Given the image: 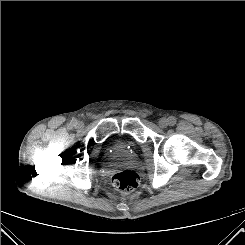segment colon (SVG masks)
Returning a JSON list of instances; mask_svg holds the SVG:
<instances>
[{
  "instance_id": "colon-1",
  "label": "colon",
  "mask_w": 245,
  "mask_h": 245,
  "mask_svg": "<svg viewBox=\"0 0 245 245\" xmlns=\"http://www.w3.org/2000/svg\"><path fill=\"white\" fill-rule=\"evenodd\" d=\"M112 184L117 190L128 193L138 187L139 177L132 170L117 171L112 176Z\"/></svg>"
}]
</instances>
